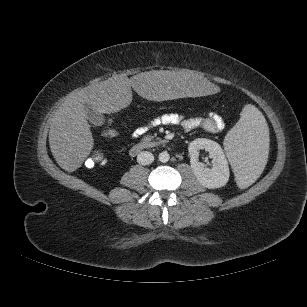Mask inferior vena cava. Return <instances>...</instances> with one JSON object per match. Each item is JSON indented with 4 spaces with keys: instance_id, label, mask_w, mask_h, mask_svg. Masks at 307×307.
I'll use <instances>...</instances> for the list:
<instances>
[{
    "instance_id": "1",
    "label": "inferior vena cava",
    "mask_w": 307,
    "mask_h": 307,
    "mask_svg": "<svg viewBox=\"0 0 307 307\" xmlns=\"http://www.w3.org/2000/svg\"><path fill=\"white\" fill-rule=\"evenodd\" d=\"M154 161V155L149 151H142L137 155V162L141 165H149Z\"/></svg>"
}]
</instances>
